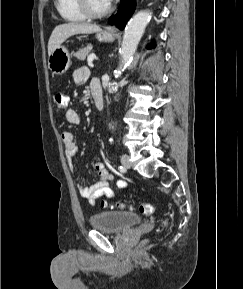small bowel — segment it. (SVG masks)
<instances>
[{"mask_svg":"<svg viewBox=\"0 0 243 289\" xmlns=\"http://www.w3.org/2000/svg\"><path fill=\"white\" fill-rule=\"evenodd\" d=\"M89 79V70L86 67L77 68L73 72V81L76 84H81ZM100 87L98 81L93 80L91 82V91ZM65 118L70 124H78L80 119L78 113L74 109H68L65 112ZM62 141L65 147V154L69 162L79 154V146L76 142L75 135L71 131H65L61 135ZM94 168L98 174V179L89 185L79 183L77 185L78 191L82 197L86 198L91 205L95 203V200L100 196H107L113 198L114 193L110 188V182L114 181L115 185L120 189H126L128 184L125 180L115 179V177L108 171L104 163L97 161L94 164Z\"/></svg>","mask_w":243,"mask_h":289,"instance_id":"c3829d8e","label":"small bowel"}]
</instances>
